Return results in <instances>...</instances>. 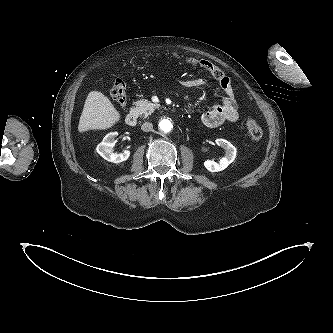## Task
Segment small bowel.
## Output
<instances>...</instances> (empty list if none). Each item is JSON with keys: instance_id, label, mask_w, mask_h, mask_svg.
Returning a JSON list of instances; mask_svg holds the SVG:
<instances>
[{"instance_id": "1", "label": "small bowel", "mask_w": 333, "mask_h": 333, "mask_svg": "<svg viewBox=\"0 0 333 333\" xmlns=\"http://www.w3.org/2000/svg\"><path fill=\"white\" fill-rule=\"evenodd\" d=\"M188 88L202 87L207 81L201 78H187L181 81ZM223 97L220 104L213 106L202 115V122L208 127H217L225 121L235 122L239 118V108L229 78L220 80Z\"/></svg>"}]
</instances>
